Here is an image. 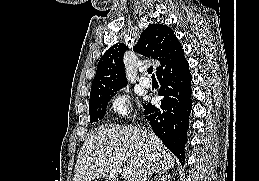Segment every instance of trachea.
Instances as JSON below:
<instances>
[{
  "label": "trachea",
  "mask_w": 259,
  "mask_h": 181,
  "mask_svg": "<svg viewBox=\"0 0 259 181\" xmlns=\"http://www.w3.org/2000/svg\"><path fill=\"white\" fill-rule=\"evenodd\" d=\"M148 74H151V77H152V78H155V75H154V73H153V67H152V66L148 68Z\"/></svg>",
  "instance_id": "obj_1"
}]
</instances>
